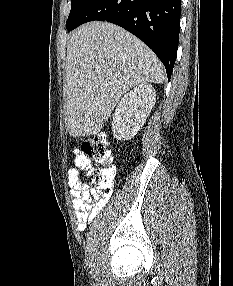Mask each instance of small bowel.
I'll return each mask as SVG.
<instances>
[{"instance_id": "1", "label": "small bowel", "mask_w": 233, "mask_h": 286, "mask_svg": "<svg viewBox=\"0 0 233 286\" xmlns=\"http://www.w3.org/2000/svg\"><path fill=\"white\" fill-rule=\"evenodd\" d=\"M114 174L116 168L112 167ZM92 169V162L81 152L76 151L75 167L68 170V185L71 194V203L74 210V218L78 229L84 231L88 222L104 208L110 198V193L90 187L83 181L81 170L87 173Z\"/></svg>"}]
</instances>
